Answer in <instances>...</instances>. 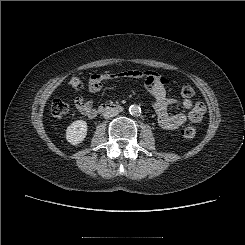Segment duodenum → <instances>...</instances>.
I'll list each match as a JSON object with an SVG mask.
<instances>
[{
    "mask_svg": "<svg viewBox=\"0 0 245 245\" xmlns=\"http://www.w3.org/2000/svg\"><path fill=\"white\" fill-rule=\"evenodd\" d=\"M122 110H123V107L121 105L107 102V103L101 104L98 107L97 112L98 113H103L105 111H118V112H120Z\"/></svg>",
    "mask_w": 245,
    "mask_h": 245,
    "instance_id": "duodenum-1",
    "label": "duodenum"
}]
</instances>
